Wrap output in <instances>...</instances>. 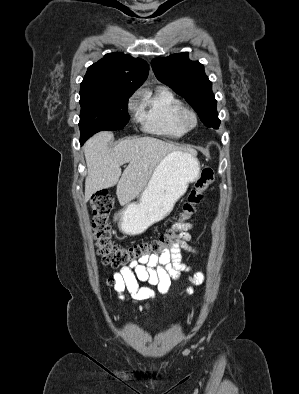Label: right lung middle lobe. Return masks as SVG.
I'll return each instance as SVG.
<instances>
[{
    "label": "right lung middle lobe",
    "instance_id": "dd1d6c3e",
    "mask_svg": "<svg viewBox=\"0 0 299 394\" xmlns=\"http://www.w3.org/2000/svg\"><path fill=\"white\" fill-rule=\"evenodd\" d=\"M135 90L80 91L81 139L101 130H120L129 121L128 99Z\"/></svg>",
    "mask_w": 299,
    "mask_h": 394
}]
</instances>
